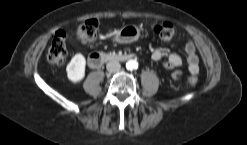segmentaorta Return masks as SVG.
Returning a JSON list of instances; mask_svg holds the SVG:
<instances>
[{"label":"aorta","mask_w":247,"mask_h":145,"mask_svg":"<svg viewBox=\"0 0 247 145\" xmlns=\"http://www.w3.org/2000/svg\"><path fill=\"white\" fill-rule=\"evenodd\" d=\"M126 68L129 70H135L138 68V62L136 60H129L126 63Z\"/></svg>","instance_id":"obj_1"}]
</instances>
